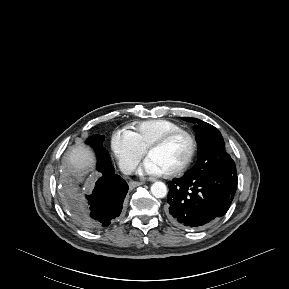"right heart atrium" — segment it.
Masks as SVG:
<instances>
[{
  "instance_id": "d8ad5b80",
  "label": "right heart atrium",
  "mask_w": 289,
  "mask_h": 289,
  "mask_svg": "<svg viewBox=\"0 0 289 289\" xmlns=\"http://www.w3.org/2000/svg\"><path fill=\"white\" fill-rule=\"evenodd\" d=\"M111 147L121 169L126 173L134 171L145 154L129 129L116 131L111 138Z\"/></svg>"
}]
</instances>
